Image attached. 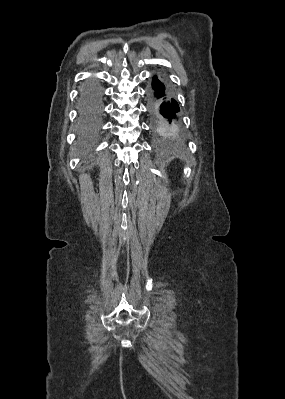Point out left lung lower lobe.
I'll list each match as a JSON object with an SVG mask.
<instances>
[{
    "instance_id": "left-lung-lower-lobe-1",
    "label": "left lung lower lobe",
    "mask_w": 285,
    "mask_h": 399,
    "mask_svg": "<svg viewBox=\"0 0 285 399\" xmlns=\"http://www.w3.org/2000/svg\"><path fill=\"white\" fill-rule=\"evenodd\" d=\"M148 99L156 134L163 138H182L183 134L177 116L179 106L160 77H153L152 91L149 93Z\"/></svg>"
}]
</instances>
